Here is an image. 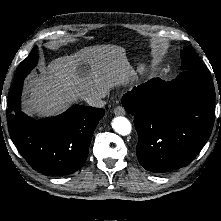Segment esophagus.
<instances>
[{
  "mask_svg": "<svg viewBox=\"0 0 221 221\" xmlns=\"http://www.w3.org/2000/svg\"><path fill=\"white\" fill-rule=\"evenodd\" d=\"M114 114L115 115H125V109L122 106H117L114 109Z\"/></svg>",
  "mask_w": 221,
  "mask_h": 221,
  "instance_id": "1",
  "label": "esophagus"
}]
</instances>
